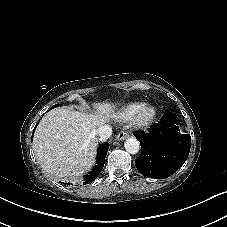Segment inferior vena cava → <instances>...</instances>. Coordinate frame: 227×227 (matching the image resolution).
<instances>
[{
    "instance_id": "inferior-vena-cava-1",
    "label": "inferior vena cava",
    "mask_w": 227,
    "mask_h": 227,
    "mask_svg": "<svg viewBox=\"0 0 227 227\" xmlns=\"http://www.w3.org/2000/svg\"><path fill=\"white\" fill-rule=\"evenodd\" d=\"M96 135L101 142L106 141L112 135V127L110 125H103L96 130Z\"/></svg>"
}]
</instances>
